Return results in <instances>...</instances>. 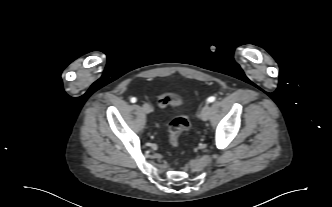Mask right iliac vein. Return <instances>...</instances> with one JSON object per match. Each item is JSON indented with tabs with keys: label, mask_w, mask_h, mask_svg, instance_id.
I'll list each match as a JSON object with an SVG mask.
<instances>
[{
	"label": "right iliac vein",
	"mask_w": 332,
	"mask_h": 207,
	"mask_svg": "<svg viewBox=\"0 0 332 207\" xmlns=\"http://www.w3.org/2000/svg\"><path fill=\"white\" fill-rule=\"evenodd\" d=\"M142 109H143V111L146 113V114H149L150 112H151V106L149 105V104H147V103H145V104H143V106H142Z\"/></svg>",
	"instance_id": "right-iliac-vein-1"
}]
</instances>
